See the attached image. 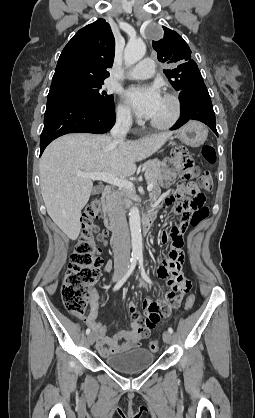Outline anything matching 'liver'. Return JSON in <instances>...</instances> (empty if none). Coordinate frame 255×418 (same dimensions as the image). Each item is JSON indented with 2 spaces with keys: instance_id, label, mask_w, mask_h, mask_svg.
<instances>
[{
  "instance_id": "obj_1",
  "label": "liver",
  "mask_w": 255,
  "mask_h": 418,
  "mask_svg": "<svg viewBox=\"0 0 255 418\" xmlns=\"http://www.w3.org/2000/svg\"><path fill=\"white\" fill-rule=\"evenodd\" d=\"M172 134H154L135 141L86 133L56 139L45 149L39 165L48 215L68 238L76 240L81 230V210L93 192L91 179L77 173L106 172L130 177L136 171L135 163L158 151Z\"/></svg>"
}]
</instances>
